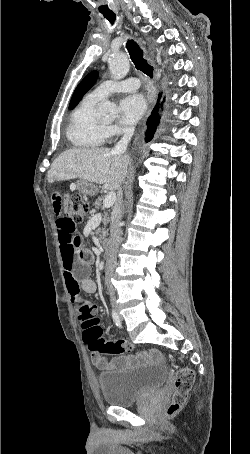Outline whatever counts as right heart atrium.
Instances as JSON below:
<instances>
[{
	"label": "right heart atrium",
	"instance_id": "right-heart-atrium-1",
	"mask_svg": "<svg viewBox=\"0 0 250 454\" xmlns=\"http://www.w3.org/2000/svg\"><path fill=\"white\" fill-rule=\"evenodd\" d=\"M110 131H111L112 133H119V132H121L122 130H121L119 127L113 126V127L110 128Z\"/></svg>",
	"mask_w": 250,
	"mask_h": 454
}]
</instances>
